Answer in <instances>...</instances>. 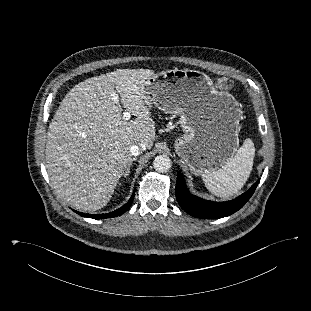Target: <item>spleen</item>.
Returning a JSON list of instances; mask_svg holds the SVG:
<instances>
[{"label":"spleen","mask_w":311,"mask_h":311,"mask_svg":"<svg viewBox=\"0 0 311 311\" xmlns=\"http://www.w3.org/2000/svg\"><path fill=\"white\" fill-rule=\"evenodd\" d=\"M255 147L246 139L237 153L222 168L202 174L206 188L213 195L228 198L238 193L248 180L253 167Z\"/></svg>","instance_id":"3e777b00"}]
</instances>
